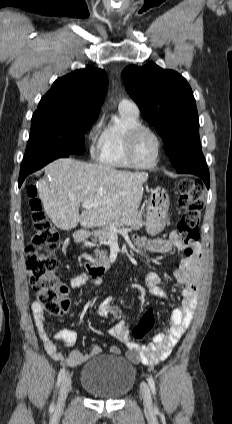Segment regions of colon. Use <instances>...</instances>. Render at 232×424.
<instances>
[{
  "instance_id": "colon-1",
  "label": "colon",
  "mask_w": 232,
  "mask_h": 424,
  "mask_svg": "<svg viewBox=\"0 0 232 424\" xmlns=\"http://www.w3.org/2000/svg\"><path fill=\"white\" fill-rule=\"evenodd\" d=\"M29 205L35 234L26 248L25 266L30 285L36 294V304L53 315L65 312L61 298L62 284L57 277V252L60 238L42 209L37 188H28ZM178 206L185 208L177 222V233L185 256L192 254L191 244L199 237L200 216L204 209L205 189L199 180L184 179L179 184ZM155 315L152 310L145 312L132 330L133 337L143 339L154 327Z\"/></svg>"
}]
</instances>
